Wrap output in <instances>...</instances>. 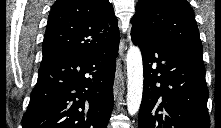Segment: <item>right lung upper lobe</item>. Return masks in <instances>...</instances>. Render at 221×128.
Masks as SVG:
<instances>
[{"mask_svg": "<svg viewBox=\"0 0 221 128\" xmlns=\"http://www.w3.org/2000/svg\"><path fill=\"white\" fill-rule=\"evenodd\" d=\"M120 40L117 18L108 0H57L43 41L45 65L72 54H87Z\"/></svg>", "mask_w": 221, "mask_h": 128, "instance_id": "right-lung-upper-lobe-1", "label": "right lung upper lobe"}]
</instances>
